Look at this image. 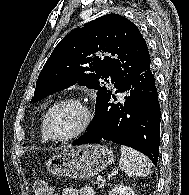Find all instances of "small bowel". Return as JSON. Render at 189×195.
Listing matches in <instances>:
<instances>
[{"label": "small bowel", "instance_id": "obj_1", "mask_svg": "<svg viewBox=\"0 0 189 195\" xmlns=\"http://www.w3.org/2000/svg\"><path fill=\"white\" fill-rule=\"evenodd\" d=\"M64 195H78V192L74 189H67L64 191ZM79 195H95V192L93 188L87 186L80 190Z\"/></svg>", "mask_w": 189, "mask_h": 195}]
</instances>
